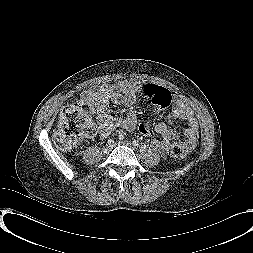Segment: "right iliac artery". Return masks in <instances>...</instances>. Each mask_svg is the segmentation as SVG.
<instances>
[{
	"instance_id": "obj_1",
	"label": "right iliac artery",
	"mask_w": 253,
	"mask_h": 253,
	"mask_svg": "<svg viewBox=\"0 0 253 253\" xmlns=\"http://www.w3.org/2000/svg\"><path fill=\"white\" fill-rule=\"evenodd\" d=\"M113 143H114V141L112 139L108 140V144H113Z\"/></svg>"
}]
</instances>
